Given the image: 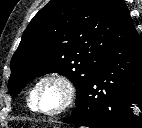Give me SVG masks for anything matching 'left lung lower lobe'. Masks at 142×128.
<instances>
[{"instance_id":"obj_1","label":"left lung lower lobe","mask_w":142,"mask_h":128,"mask_svg":"<svg viewBox=\"0 0 142 128\" xmlns=\"http://www.w3.org/2000/svg\"><path fill=\"white\" fill-rule=\"evenodd\" d=\"M142 41L136 32L112 48L88 82L71 116L63 122L88 128H142Z\"/></svg>"}]
</instances>
